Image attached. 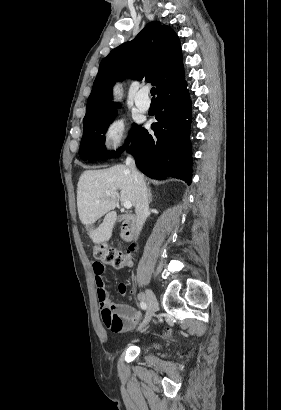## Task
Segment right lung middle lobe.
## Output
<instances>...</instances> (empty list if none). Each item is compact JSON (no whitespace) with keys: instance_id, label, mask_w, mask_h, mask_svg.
Segmentation results:
<instances>
[{"instance_id":"obj_1","label":"right lung middle lobe","mask_w":281,"mask_h":410,"mask_svg":"<svg viewBox=\"0 0 281 410\" xmlns=\"http://www.w3.org/2000/svg\"><path fill=\"white\" fill-rule=\"evenodd\" d=\"M114 117L115 111L83 125V137L80 145V156L83 160L94 161L115 157L127 147L128 143L114 153L108 152L105 149V133ZM137 130L138 127L134 126L132 132L133 136L136 134Z\"/></svg>"}]
</instances>
